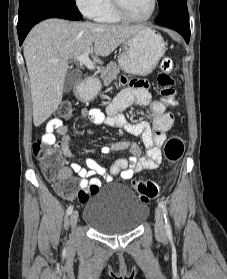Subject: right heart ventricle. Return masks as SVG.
I'll return each mask as SVG.
<instances>
[{"label":"right heart ventricle","mask_w":227,"mask_h":279,"mask_svg":"<svg viewBox=\"0 0 227 279\" xmlns=\"http://www.w3.org/2000/svg\"><path fill=\"white\" fill-rule=\"evenodd\" d=\"M95 18L101 22H121L124 21L114 10L111 0H107L103 8L97 13Z\"/></svg>","instance_id":"right-heart-ventricle-1"}]
</instances>
